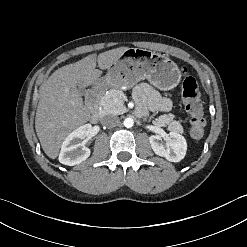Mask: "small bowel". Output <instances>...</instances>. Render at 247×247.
Here are the masks:
<instances>
[{
  "label": "small bowel",
  "mask_w": 247,
  "mask_h": 247,
  "mask_svg": "<svg viewBox=\"0 0 247 247\" xmlns=\"http://www.w3.org/2000/svg\"><path fill=\"white\" fill-rule=\"evenodd\" d=\"M134 98L138 106L139 114H145L148 109L152 111H168L171 106L167 98L162 97L146 83L135 87Z\"/></svg>",
  "instance_id": "obj_1"
}]
</instances>
